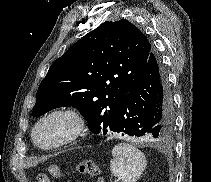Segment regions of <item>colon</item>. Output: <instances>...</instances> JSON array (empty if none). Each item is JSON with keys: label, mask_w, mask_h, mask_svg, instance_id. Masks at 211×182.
Instances as JSON below:
<instances>
[{"label": "colon", "mask_w": 211, "mask_h": 182, "mask_svg": "<svg viewBox=\"0 0 211 182\" xmlns=\"http://www.w3.org/2000/svg\"><path fill=\"white\" fill-rule=\"evenodd\" d=\"M76 170L79 174L97 177L98 182H105L100 176V169L98 165L93 160H86L79 163ZM49 176L59 178L61 176L59 168L54 165L50 166L48 174L41 173L37 176V182H51Z\"/></svg>", "instance_id": "1"}]
</instances>
